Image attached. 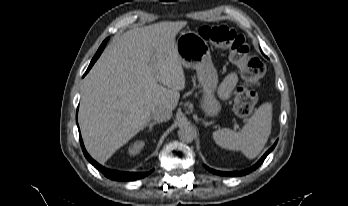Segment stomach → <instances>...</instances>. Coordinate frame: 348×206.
<instances>
[{
	"label": "stomach",
	"instance_id": "1",
	"mask_svg": "<svg viewBox=\"0 0 348 206\" xmlns=\"http://www.w3.org/2000/svg\"><path fill=\"white\" fill-rule=\"evenodd\" d=\"M181 63L186 68L195 69L202 89L200 107L206 116L214 117L220 110V102L214 92L218 84V74L212 63L207 42L194 32H183L175 44Z\"/></svg>",
	"mask_w": 348,
	"mask_h": 206
}]
</instances>
